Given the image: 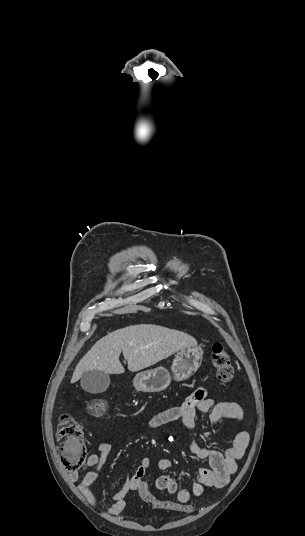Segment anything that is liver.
<instances>
[{"mask_svg":"<svg viewBox=\"0 0 305 536\" xmlns=\"http://www.w3.org/2000/svg\"><path fill=\"white\" fill-rule=\"evenodd\" d=\"M193 346H197V342L189 334L162 326L138 324L115 330L98 340L83 356L73 372L71 384L78 382L82 374L89 370H100L105 374H123L124 368L119 362L121 352L127 360L129 372H139L169 358L179 350Z\"/></svg>","mask_w":305,"mask_h":536,"instance_id":"6515ba94","label":"liver"}]
</instances>
